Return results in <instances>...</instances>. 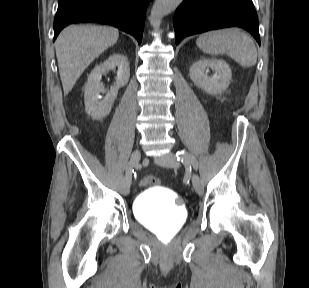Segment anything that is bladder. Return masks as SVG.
I'll return each mask as SVG.
<instances>
[{
	"mask_svg": "<svg viewBox=\"0 0 309 288\" xmlns=\"http://www.w3.org/2000/svg\"><path fill=\"white\" fill-rule=\"evenodd\" d=\"M133 210L142 226L159 234L178 232L187 219L179 197L157 186L142 191L134 200Z\"/></svg>",
	"mask_w": 309,
	"mask_h": 288,
	"instance_id": "bladder-1",
	"label": "bladder"
}]
</instances>
